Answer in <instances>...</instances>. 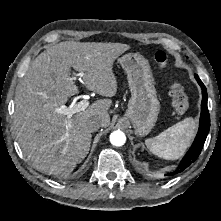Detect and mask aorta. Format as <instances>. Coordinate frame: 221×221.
<instances>
[{"label": "aorta", "instance_id": "obj_1", "mask_svg": "<svg viewBox=\"0 0 221 221\" xmlns=\"http://www.w3.org/2000/svg\"><path fill=\"white\" fill-rule=\"evenodd\" d=\"M110 142L113 146H122L126 142V136L121 130L113 131L110 134Z\"/></svg>", "mask_w": 221, "mask_h": 221}]
</instances>
